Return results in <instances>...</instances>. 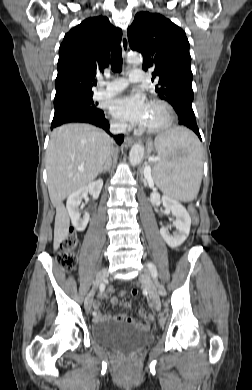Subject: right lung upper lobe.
<instances>
[{
  "instance_id": "obj_1",
  "label": "right lung upper lobe",
  "mask_w": 252,
  "mask_h": 390,
  "mask_svg": "<svg viewBox=\"0 0 252 390\" xmlns=\"http://www.w3.org/2000/svg\"><path fill=\"white\" fill-rule=\"evenodd\" d=\"M122 38V30L105 16L84 20L71 29L59 48L54 101L92 93L96 71L108 66L109 52Z\"/></svg>"
}]
</instances>
